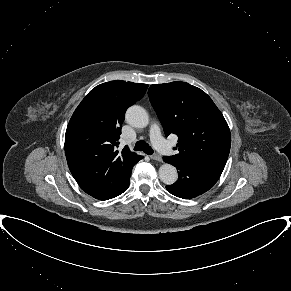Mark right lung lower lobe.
Masks as SVG:
<instances>
[{"mask_svg":"<svg viewBox=\"0 0 291 291\" xmlns=\"http://www.w3.org/2000/svg\"><path fill=\"white\" fill-rule=\"evenodd\" d=\"M141 158H142V157H141ZM129 180H130V178H129L128 181L123 185L122 189L119 191V193H118L116 196L120 195L121 193H123V192L128 188V186H129ZM116 196H114V197H116Z\"/></svg>","mask_w":291,"mask_h":291,"instance_id":"98d812e1","label":"right lung lower lobe"}]
</instances>
